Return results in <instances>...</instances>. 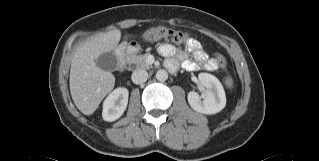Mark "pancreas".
<instances>
[{
	"label": "pancreas",
	"instance_id": "cf45deb5",
	"mask_svg": "<svg viewBox=\"0 0 319 161\" xmlns=\"http://www.w3.org/2000/svg\"><path fill=\"white\" fill-rule=\"evenodd\" d=\"M126 59L128 63L136 64L137 68L150 69L151 67L146 61L147 54L137 55L132 53V54H129Z\"/></svg>",
	"mask_w": 319,
	"mask_h": 161
}]
</instances>
